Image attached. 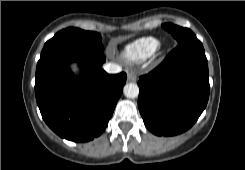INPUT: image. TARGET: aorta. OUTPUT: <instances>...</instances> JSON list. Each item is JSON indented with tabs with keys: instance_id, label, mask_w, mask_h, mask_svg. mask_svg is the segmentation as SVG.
Segmentation results:
<instances>
[{
	"instance_id": "762f6f07",
	"label": "aorta",
	"mask_w": 245,
	"mask_h": 170,
	"mask_svg": "<svg viewBox=\"0 0 245 170\" xmlns=\"http://www.w3.org/2000/svg\"><path fill=\"white\" fill-rule=\"evenodd\" d=\"M124 95L127 98H136L139 95V87L135 83H127L124 86Z\"/></svg>"
}]
</instances>
